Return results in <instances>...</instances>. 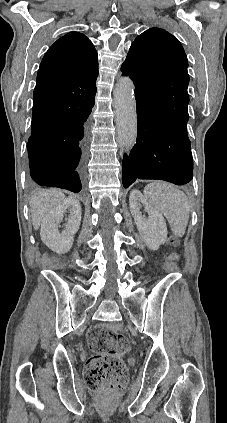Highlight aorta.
<instances>
[{
  "mask_svg": "<svg viewBox=\"0 0 227 423\" xmlns=\"http://www.w3.org/2000/svg\"><path fill=\"white\" fill-rule=\"evenodd\" d=\"M114 105L118 142L121 147L130 150L137 137L136 101L134 84L128 77L118 80L114 90Z\"/></svg>",
  "mask_w": 227,
  "mask_h": 423,
  "instance_id": "1",
  "label": "aorta"
}]
</instances>
